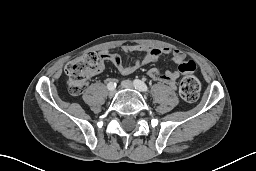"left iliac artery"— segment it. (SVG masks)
Listing matches in <instances>:
<instances>
[{
	"mask_svg": "<svg viewBox=\"0 0 256 171\" xmlns=\"http://www.w3.org/2000/svg\"><path fill=\"white\" fill-rule=\"evenodd\" d=\"M134 86L141 91H148L147 85L139 79L134 80Z\"/></svg>",
	"mask_w": 256,
	"mask_h": 171,
	"instance_id": "left-iliac-artery-1",
	"label": "left iliac artery"
}]
</instances>
